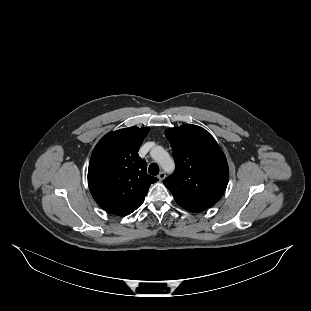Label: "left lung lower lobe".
I'll return each instance as SVG.
<instances>
[{
  "mask_svg": "<svg viewBox=\"0 0 311 311\" xmlns=\"http://www.w3.org/2000/svg\"><path fill=\"white\" fill-rule=\"evenodd\" d=\"M181 207H183L184 209L188 210V211H191V212H200V211H203L205 209H201V208H197V207H193V206H184V205H181L179 204Z\"/></svg>",
  "mask_w": 311,
  "mask_h": 311,
  "instance_id": "0a47b994",
  "label": "left lung lower lobe"
}]
</instances>
